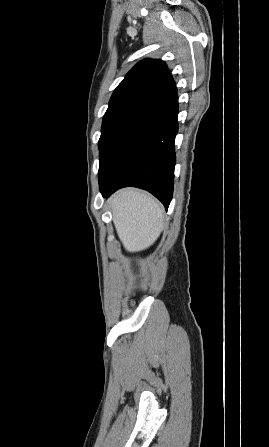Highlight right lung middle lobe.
I'll return each instance as SVG.
<instances>
[{"label":"right lung middle lobe","mask_w":269,"mask_h":447,"mask_svg":"<svg viewBox=\"0 0 269 447\" xmlns=\"http://www.w3.org/2000/svg\"><path fill=\"white\" fill-rule=\"evenodd\" d=\"M131 112L133 111L121 110L105 114L102 123L101 137L99 140L100 153L103 151L105 142L108 139V137L112 134V132L115 130L118 124Z\"/></svg>","instance_id":"1"}]
</instances>
